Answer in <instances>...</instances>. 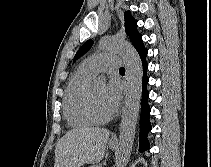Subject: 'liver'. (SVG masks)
Masks as SVG:
<instances>
[{
	"instance_id": "obj_1",
	"label": "liver",
	"mask_w": 211,
	"mask_h": 167,
	"mask_svg": "<svg viewBox=\"0 0 211 167\" xmlns=\"http://www.w3.org/2000/svg\"><path fill=\"white\" fill-rule=\"evenodd\" d=\"M109 131L81 127L68 131L55 148L54 167H81L100 162L105 154Z\"/></svg>"
}]
</instances>
